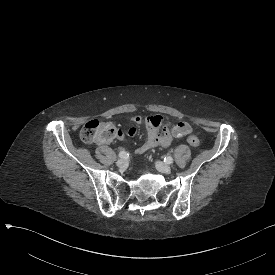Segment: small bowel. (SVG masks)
I'll use <instances>...</instances> for the list:
<instances>
[{
	"mask_svg": "<svg viewBox=\"0 0 275 275\" xmlns=\"http://www.w3.org/2000/svg\"><path fill=\"white\" fill-rule=\"evenodd\" d=\"M131 121L136 125L145 123L147 129L145 141L135 149V153L139 155L156 147H167L174 139L181 138L191 131L190 124L185 121L171 125L163 124L162 117L158 113L153 114L152 117L135 115L131 118ZM127 134L134 137L137 134V129L131 127ZM118 139L124 140L125 134L120 132Z\"/></svg>",
	"mask_w": 275,
	"mask_h": 275,
	"instance_id": "1",
	"label": "small bowel"
}]
</instances>
